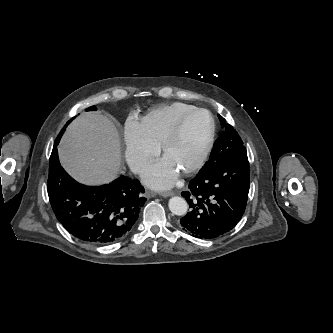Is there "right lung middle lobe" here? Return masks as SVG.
<instances>
[{
    "mask_svg": "<svg viewBox=\"0 0 333 333\" xmlns=\"http://www.w3.org/2000/svg\"><path fill=\"white\" fill-rule=\"evenodd\" d=\"M89 110H92V107L87 108V111H89ZM71 120H72V119H71ZM71 120H70V121H71Z\"/></svg>",
    "mask_w": 333,
    "mask_h": 333,
    "instance_id": "dd1d6c3e",
    "label": "right lung middle lobe"
}]
</instances>
